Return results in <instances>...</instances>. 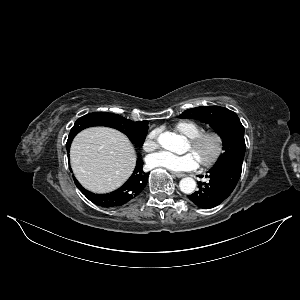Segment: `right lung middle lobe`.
Segmentation results:
<instances>
[{
  "label": "right lung middle lobe",
  "mask_w": 300,
  "mask_h": 300,
  "mask_svg": "<svg viewBox=\"0 0 300 300\" xmlns=\"http://www.w3.org/2000/svg\"><path fill=\"white\" fill-rule=\"evenodd\" d=\"M92 126H107L115 128L126 134L133 143L138 145H142L144 143L148 130L147 121L143 124H137L120 115L96 112L84 115L75 122L70 131L67 143L71 142L78 132Z\"/></svg>",
  "instance_id": "dd1d6c3e"
}]
</instances>
